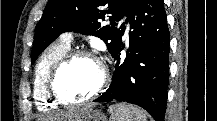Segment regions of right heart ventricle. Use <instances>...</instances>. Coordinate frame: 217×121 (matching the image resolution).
<instances>
[{
  "mask_svg": "<svg viewBox=\"0 0 217 121\" xmlns=\"http://www.w3.org/2000/svg\"><path fill=\"white\" fill-rule=\"evenodd\" d=\"M70 51V44L61 40L54 43L39 58L34 72L33 96L36 105L41 110L56 108L47 93V79L53 66Z\"/></svg>",
  "mask_w": 217,
  "mask_h": 121,
  "instance_id": "right-heart-ventricle-1",
  "label": "right heart ventricle"
}]
</instances>
